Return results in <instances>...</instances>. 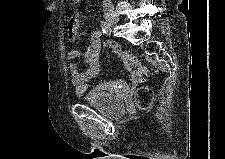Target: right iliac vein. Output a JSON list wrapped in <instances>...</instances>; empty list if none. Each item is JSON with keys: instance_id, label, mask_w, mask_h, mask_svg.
<instances>
[{"instance_id": "right-iliac-vein-1", "label": "right iliac vein", "mask_w": 225, "mask_h": 159, "mask_svg": "<svg viewBox=\"0 0 225 159\" xmlns=\"http://www.w3.org/2000/svg\"><path fill=\"white\" fill-rule=\"evenodd\" d=\"M105 18L112 25L119 23V17H118L117 13L113 9L106 10Z\"/></svg>"}]
</instances>
